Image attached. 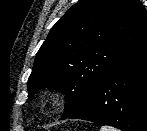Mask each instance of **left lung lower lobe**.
<instances>
[{
    "instance_id": "0a47b994",
    "label": "left lung lower lobe",
    "mask_w": 147,
    "mask_h": 131,
    "mask_svg": "<svg viewBox=\"0 0 147 131\" xmlns=\"http://www.w3.org/2000/svg\"><path fill=\"white\" fill-rule=\"evenodd\" d=\"M65 119H82L122 131H147V42L123 56L88 101Z\"/></svg>"
}]
</instances>
